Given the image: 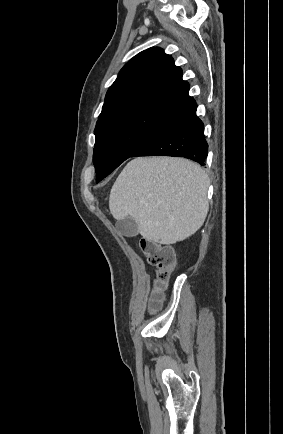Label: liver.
Wrapping results in <instances>:
<instances>
[{
    "instance_id": "1",
    "label": "liver",
    "mask_w": 283,
    "mask_h": 434,
    "mask_svg": "<svg viewBox=\"0 0 283 434\" xmlns=\"http://www.w3.org/2000/svg\"><path fill=\"white\" fill-rule=\"evenodd\" d=\"M209 178L184 158L138 157L119 174L109 196V209L120 221L131 217L151 242L170 245L192 236L209 210Z\"/></svg>"
}]
</instances>
